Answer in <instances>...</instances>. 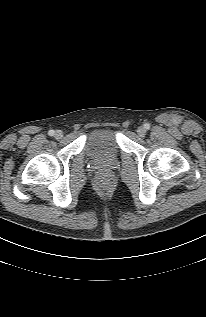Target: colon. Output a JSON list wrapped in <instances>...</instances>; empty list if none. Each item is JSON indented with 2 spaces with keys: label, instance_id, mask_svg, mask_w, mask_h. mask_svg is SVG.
<instances>
[{
  "label": "colon",
  "instance_id": "5ec220e1",
  "mask_svg": "<svg viewBox=\"0 0 206 317\" xmlns=\"http://www.w3.org/2000/svg\"><path fill=\"white\" fill-rule=\"evenodd\" d=\"M96 184L99 189L106 190L111 186L112 179L109 176L104 175L97 179Z\"/></svg>",
  "mask_w": 206,
  "mask_h": 317
}]
</instances>
